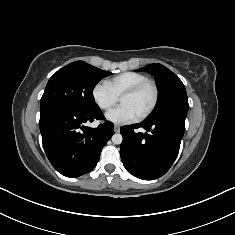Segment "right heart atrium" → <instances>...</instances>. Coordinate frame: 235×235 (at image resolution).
<instances>
[{"instance_id":"d8ad5b80","label":"right heart atrium","mask_w":235,"mask_h":235,"mask_svg":"<svg viewBox=\"0 0 235 235\" xmlns=\"http://www.w3.org/2000/svg\"><path fill=\"white\" fill-rule=\"evenodd\" d=\"M91 95L95 104L103 111L110 110L118 101V96L106 81L96 83L92 88Z\"/></svg>"}]
</instances>
